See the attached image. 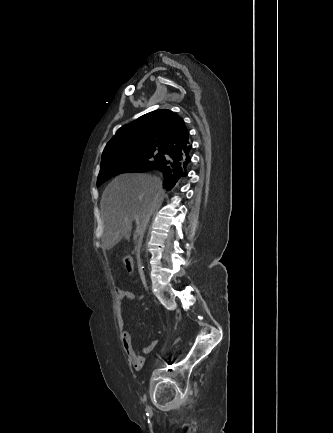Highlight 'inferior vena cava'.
<instances>
[{"instance_id": "obj_1", "label": "inferior vena cava", "mask_w": 333, "mask_h": 433, "mask_svg": "<svg viewBox=\"0 0 333 433\" xmlns=\"http://www.w3.org/2000/svg\"><path fill=\"white\" fill-rule=\"evenodd\" d=\"M159 184L161 185V182H159ZM149 219H150V214H148V215H146V217L144 218V221H143V226H142V234H141V238L143 237V235H144V232H145V230H146V227H147V224H148V222H149Z\"/></svg>"}]
</instances>
